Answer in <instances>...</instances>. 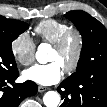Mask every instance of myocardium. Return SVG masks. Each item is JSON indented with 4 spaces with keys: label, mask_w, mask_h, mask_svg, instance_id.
<instances>
[{
    "label": "myocardium",
    "mask_w": 107,
    "mask_h": 107,
    "mask_svg": "<svg viewBox=\"0 0 107 107\" xmlns=\"http://www.w3.org/2000/svg\"><path fill=\"white\" fill-rule=\"evenodd\" d=\"M71 39H74L76 42L75 53L72 61L63 67L64 71L67 74L75 72L81 62L83 51H84V38L82 33L75 28H70L65 31L59 39L53 43V48L57 51H62L69 43Z\"/></svg>",
    "instance_id": "myocardium-1"
}]
</instances>
